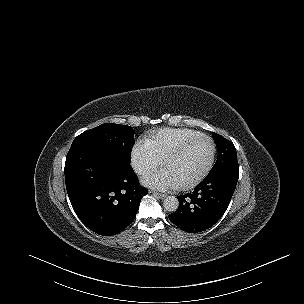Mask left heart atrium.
<instances>
[{"mask_svg":"<svg viewBox=\"0 0 304 304\" xmlns=\"http://www.w3.org/2000/svg\"><path fill=\"white\" fill-rule=\"evenodd\" d=\"M142 183L147 187L161 191L176 189L178 187V183L167 171H155L146 174L142 178Z\"/></svg>","mask_w":304,"mask_h":304,"instance_id":"1","label":"left heart atrium"}]
</instances>
